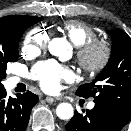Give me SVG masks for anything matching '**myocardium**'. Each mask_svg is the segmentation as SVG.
<instances>
[{
    "mask_svg": "<svg viewBox=\"0 0 131 131\" xmlns=\"http://www.w3.org/2000/svg\"><path fill=\"white\" fill-rule=\"evenodd\" d=\"M76 58L82 70L97 74L110 63L112 48L103 40L93 39L77 47Z\"/></svg>",
    "mask_w": 131,
    "mask_h": 131,
    "instance_id": "f54148a6",
    "label": "myocardium"
}]
</instances>
